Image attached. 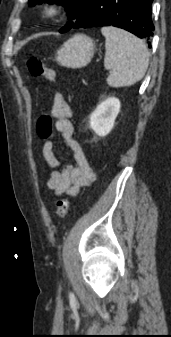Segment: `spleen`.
I'll return each mask as SVG.
<instances>
[{"label":"spleen","mask_w":171,"mask_h":337,"mask_svg":"<svg viewBox=\"0 0 171 337\" xmlns=\"http://www.w3.org/2000/svg\"><path fill=\"white\" fill-rule=\"evenodd\" d=\"M105 37L104 67L110 71L111 87L131 86L140 81L149 65V53L141 39L113 26L102 27Z\"/></svg>","instance_id":"spleen-1"}]
</instances>
